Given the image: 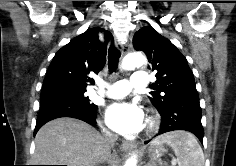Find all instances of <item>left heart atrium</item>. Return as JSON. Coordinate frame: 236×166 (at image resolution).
<instances>
[{
  "mask_svg": "<svg viewBox=\"0 0 236 166\" xmlns=\"http://www.w3.org/2000/svg\"><path fill=\"white\" fill-rule=\"evenodd\" d=\"M106 121L115 132L122 135H133L144 128L145 115L137 103L123 101L107 108Z\"/></svg>",
  "mask_w": 236,
  "mask_h": 166,
  "instance_id": "left-heart-atrium-1",
  "label": "left heart atrium"
}]
</instances>
